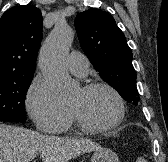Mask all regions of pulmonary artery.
Returning a JSON list of instances; mask_svg holds the SVG:
<instances>
[{"mask_svg": "<svg viewBox=\"0 0 168 162\" xmlns=\"http://www.w3.org/2000/svg\"><path fill=\"white\" fill-rule=\"evenodd\" d=\"M66 64L71 73L80 77H84L89 69L88 58L79 52L70 53Z\"/></svg>", "mask_w": 168, "mask_h": 162, "instance_id": "e3ab8cb5", "label": "pulmonary artery"}]
</instances>
